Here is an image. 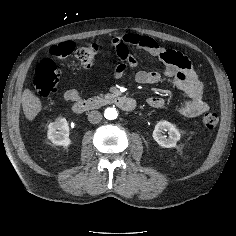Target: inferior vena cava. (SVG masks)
Segmentation results:
<instances>
[{
	"instance_id": "inferior-vena-cava-1",
	"label": "inferior vena cava",
	"mask_w": 236,
	"mask_h": 236,
	"mask_svg": "<svg viewBox=\"0 0 236 236\" xmlns=\"http://www.w3.org/2000/svg\"><path fill=\"white\" fill-rule=\"evenodd\" d=\"M88 120L92 124H97L102 120V114L99 111H91L88 114Z\"/></svg>"
}]
</instances>
